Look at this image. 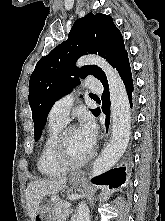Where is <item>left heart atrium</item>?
<instances>
[{"label": "left heart atrium", "mask_w": 165, "mask_h": 221, "mask_svg": "<svg viewBox=\"0 0 165 221\" xmlns=\"http://www.w3.org/2000/svg\"><path fill=\"white\" fill-rule=\"evenodd\" d=\"M78 129L87 142L93 146L97 135V127L93 118L89 115H85L82 118Z\"/></svg>", "instance_id": "left-heart-atrium-1"}]
</instances>
